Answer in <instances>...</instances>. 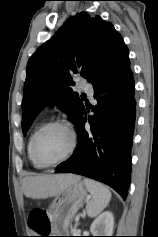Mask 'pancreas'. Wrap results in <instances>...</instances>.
I'll return each instance as SVG.
<instances>
[{
  "label": "pancreas",
  "instance_id": "1",
  "mask_svg": "<svg viewBox=\"0 0 158 237\" xmlns=\"http://www.w3.org/2000/svg\"><path fill=\"white\" fill-rule=\"evenodd\" d=\"M71 233H73V235H77V233H79V231L75 230V229H72L71 230Z\"/></svg>",
  "mask_w": 158,
  "mask_h": 237
}]
</instances>
